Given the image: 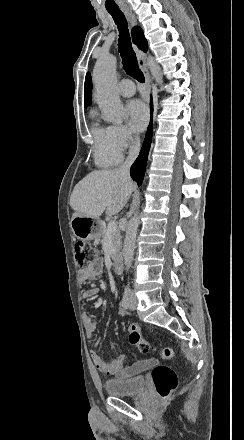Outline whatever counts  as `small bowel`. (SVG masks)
<instances>
[{"label":"small bowel","instance_id":"small-bowel-1","mask_svg":"<svg viewBox=\"0 0 244 440\" xmlns=\"http://www.w3.org/2000/svg\"><path fill=\"white\" fill-rule=\"evenodd\" d=\"M102 271L103 260L101 258H95L88 264L85 269L80 271V282L83 284L90 283L98 276H100ZM97 294L98 289L96 287H91L89 289H86L83 292L82 296L84 299H92ZM83 319L87 335L92 336L97 330L96 322L89 314H84ZM97 345H100L99 341L97 342ZM91 358L93 363L101 373L107 376L115 377L120 381H127L129 379H132L155 365L154 360L133 361V358L127 355H120L116 359L107 362L102 358L99 352L95 350L91 351Z\"/></svg>","mask_w":244,"mask_h":440}]
</instances>
